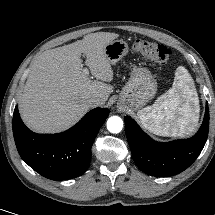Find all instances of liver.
<instances>
[{"label":"liver","instance_id":"obj_1","mask_svg":"<svg viewBox=\"0 0 215 215\" xmlns=\"http://www.w3.org/2000/svg\"><path fill=\"white\" fill-rule=\"evenodd\" d=\"M118 36L109 32L91 33L82 40L38 55L19 100L25 124L38 133L60 132L89 110V97L97 96L104 104L113 88L109 84L113 70L104 48ZM82 54L95 81L83 73Z\"/></svg>","mask_w":215,"mask_h":215}]
</instances>
